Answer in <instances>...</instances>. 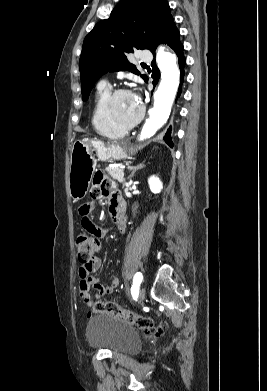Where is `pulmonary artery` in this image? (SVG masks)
Here are the masks:
<instances>
[{"label":"pulmonary artery","mask_w":267,"mask_h":391,"mask_svg":"<svg viewBox=\"0 0 267 391\" xmlns=\"http://www.w3.org/2000/svg\"><path fill=\"white\" fill-rule=\"evenodd\" d=\"M152 59V55L150 52L148 51H143L141 54H140V60L143 61V62H149L151 61ZM108 85V82L106 80H101L98 84V87H104V86H107Z\"/></svg>","instance_id":"obj_1"}]
</instances>
